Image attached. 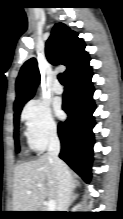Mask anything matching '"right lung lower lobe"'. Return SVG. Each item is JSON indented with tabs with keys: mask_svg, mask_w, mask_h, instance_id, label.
<instances>
[{
	"mask_svg": "<svg viewBox=\"0 0 123 219\" xmlns=\"http://www.w3.org/2000/svg\"><path fill=\"white\" fill-rule=\"evenodd\" d=\"M92 70L89 60L67 77L63 94V110L68 118L58 125L61 141L59 157L83 179H91L95 125Z\"/></svg>",
	"mask_w": 123,
	"mask_h": 219,
	"instance_id": "1",
	"label": "right lung lower lobe"
}]
</instances>
